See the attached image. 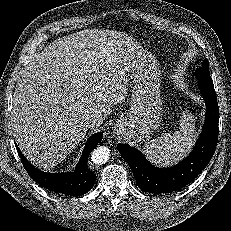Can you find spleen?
Listing matches in <instances>:
<instances>
[{
	"instance_id": "3e777b00",
	"label": "spleen",
	"mask_w": 231,
	"mask_h": 231,
	"mask_svg": "<svg viewBox=\"0 0 231 231\" xmlns=\"http://www.w3.org/2000/svg\"><path fill=\"white\" fill-rule=\"evenodd\" d=\"M195 137L194 115L186 111L179 121V130L174 134L164 133L147 142L144 153L158 165H172L190 151Z\"/></svg>"
}]
</instances>
